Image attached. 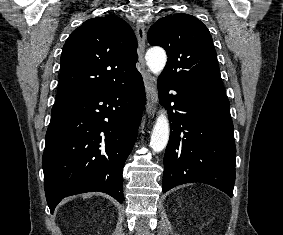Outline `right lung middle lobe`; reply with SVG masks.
I'll return each mask as SVG.
<instances>
[{"label":"right lung middle lobe","mask_w":283,"mask_h":235,"mask_svg":"<svg viewBox=\"0 0 283 235\" xmlns=\"http://www.w3.org/2000/svg\"><path fill=\"white\" fill-rule=\"evenodd\" d=\"M60 107V105H54L52 108V113L55 112L56 110H58Z\"/></svg>","instance_id":"obj_1"}]
</instances>
